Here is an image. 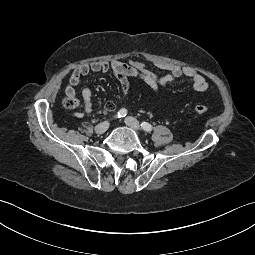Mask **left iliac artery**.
Returning <instances> with one entry per match:
<instances>
[{"mask_svg": "<svg viewBox=\"0 0 255 255\" xmlns=\"http://www.w3.org/2000/svg\"><path fill=\"white\" fill-rule=\"evenodd\" d=\"M141 127L146 132H151L152 131V126L147 122H142Z\"/></svg>", "mask_w": 255, "mask_h": 255, "instance_id": "left-iliac-artery-1", "label": "left iliac artery"}]
</instances>
